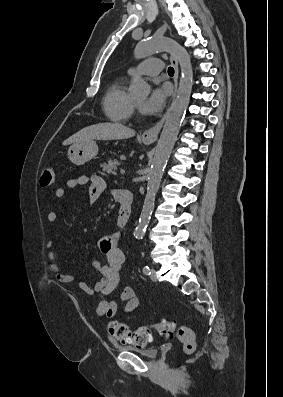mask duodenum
Segmentation results:
<instances>
[{"instance_id": "410a0bca", "label": "duodenum", "mask_w": 283, "mask_h": 397, "mask_svg": "<svg viewBox=\"0 0 283 397\" xmlns=\"http://www.w3.org/2000/svg\"><path fill=\"white\" fill-rule=\"evenodd\" d=\"M120 204L117 223L119 226H125L130 220L133 206V194L130 191L121 190L118 196Z\"/></svg>"}]
</instances>
